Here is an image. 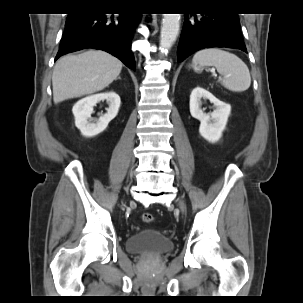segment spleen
Here are the masks:
<instances>
[{"mask_svg": "<svg viewBox=\"0 0 303 303\" xmlns=\"http://www.w3.org/2000/svg\"><path fill=\"white\" fill-rule=\"evenodd\" d=\"M193 67L196 72L205 66H214L224 78L221 84L230 91L242 92L251 84L247 65L235 54L219 48L203 49L195 53Z\"/></svg>", "mask_w": 303, "mask_h": 303, "instance_id": "spleen-1", "label": "spleen"}]
</instances>
